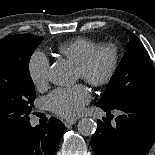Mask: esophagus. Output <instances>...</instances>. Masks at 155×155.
Segmentation results:
<instances>
[{
  "label": "esophagus",
  "mask_w": 155,
  "mask_h": 155,
  "mask_svg": "<svg viewBox=\"0 0 155 155\" xmlns=\"http://www.w3.org/2000/svg\"><path fill=\"white\" fill-rule=\"evenodd\" d=\"M76 121H77L76 119H67V120L64 121V125L66 127H69L71 125H74L76 123Z\"/></svg>",
  "instance_id": "34e87169"
}]
</instances>
